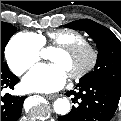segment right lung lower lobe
<instances>
[{"mask_svg": "<svg viewBox=\"0 0 121 121\" xmlns=\"http://www.w3.org/2000/svg\"><path fill=\"white\" fill-rule=\"evenodd\" d=\"M19 78L9 71L6 63L1 65V91L4 88L13 89ZM25 97L1 95V121H16L22 112Z\"/></svg>", "mask_w": 121, "mask_h": 121, "instance_id": "obj_1", "label": "right lung lower lobe"}]
</instances>
